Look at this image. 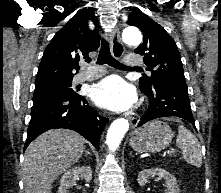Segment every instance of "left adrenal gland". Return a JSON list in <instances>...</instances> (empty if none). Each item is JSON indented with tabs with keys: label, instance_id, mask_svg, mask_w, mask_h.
I'll return each mask as SVG.
<instances>
[{
	"label": "left adrenal gland",
	"instance_id": "a2214340",
	"mask_svg": "<svg viewBox=\"0 0 221 193\" xmlns=\"http://www.w3.org/2000/svg\"><path fill=\"white\" fill-rule=\"evenodd\" d=\"M130 155L133 157L132 152H130Z\"/></svg>",
	"mask_w": 221,
	"mask_h": 193
}]
</instances>
